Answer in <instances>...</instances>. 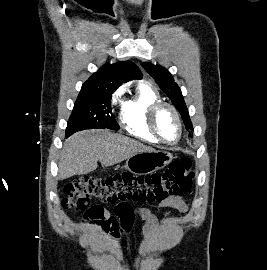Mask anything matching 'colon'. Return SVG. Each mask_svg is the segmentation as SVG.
Returning <instances> with one entry per match:
<instances>
[{
    "instance_id": "obj_1",
    "label": "colon",
    "mask_w": 267,
    "mask_h": 270,
    "mask_svg": "<svg viewBox=\"0 0 267 270\" xmlns=\"http://www.w3.org/2000/svg\"><path fill=\"white\" fill-rule=\"evenodd\" d=\"M191 159L183 157L168 169L145 176L122 173L106 178L84 177L67 184L62 206L76 211H91V200L101 203L133 201L163 202L191 189L194 173Z\"/></svg>"
}]
</instances>
